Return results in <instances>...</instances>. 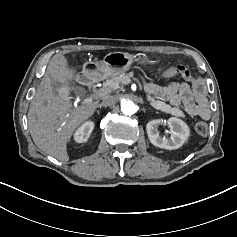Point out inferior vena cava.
<instances>
[{"label":"inferior vena cava","mask_w":237,"mask_h":237,"mask_svg":"<svg viewBox=\"0 0 237 237\" xmlns=\"http://www.w3.org/2000/svg\"><path fill=\"white\" fill-rule=\"evenodd\" d=\"M116 101H117L116 97H114V96H106L103 99L101 105L104 106V107L112 106V105H114L116 103Z\"/></svg>","instance_id":"obj_1"}]
</instances>
